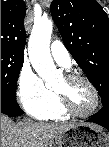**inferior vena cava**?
<instances>
[{
    "label": "inferior vena cava",
    "instance_id": "inferior-vena-cava-1",
    "mask_svg": "<svg viewBox=\"0 0 109 147\" xmlns=\"http://www.w3.org/2000/svg\"><path fill=\"white\" fill-rule=\"evenodd\" d=\"M24 122L28 123V124H32L33 123L30 119H27V118L24 120Z\"/></svg>",
    "mask_w": 109,
    "mask_h": 147
}]
</instances>
